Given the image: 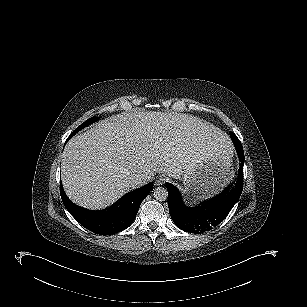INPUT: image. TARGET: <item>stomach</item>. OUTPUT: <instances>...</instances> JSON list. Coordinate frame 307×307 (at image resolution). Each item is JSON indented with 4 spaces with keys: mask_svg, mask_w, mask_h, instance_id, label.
Masks as SVG:
<instances>
[{
    "mask_svg": "<svg viewBox=\"0 0 307 307\" xmlns=\"http://www.w3.org/2000/svg\"><path fill=\"white\" fill-rule=\"evenodd\" d=\"M232 176L231 163L221 156H214L184 173L183 191L191 201L204 199L224 188Z\"/></svg>",
    "mask_w": 307,
    "mask_h": 307,
    "instance_id": "0dacf381",
    "label": "stomach"
}]
</instances>
